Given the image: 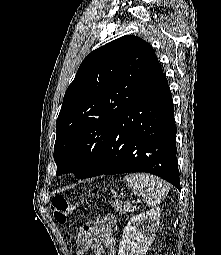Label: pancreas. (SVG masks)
<instances>
[{
  "label": "pancreas",
  "instance_id": "1",
  "mask_svg": "<svg viewBox=\"0 0 221 255\" xmlns=\"http://www.w3.org/2000/svg\"><path fill=\"white\" fill-rule=\"evenodd\" d=\"M113 207L119 211L121 214H127L132 212V207L129 203L122 204L121 202H114Z\"/></svg>",
  "mask_w": 221,
  "mask_h": 255
}]
</instances>
